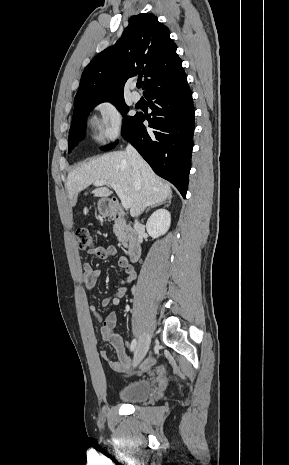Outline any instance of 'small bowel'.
Here are the masks:
<instances>
[{"instance_id":"c3829d8e","label":"small bowel","mask_w":289,"mask_h":465,"mask_svg":"<svg viewBox=\"0 0 289 465\" xmlns=\"http://www.w3.org/2000/svg\"><path fill=\"white\" fill-rule=\"evenodd\" d=\"M90 256H94L99 259H108L117 255V249L114 246L108 247H95L89 251ZM118 265L123 270V278L117 287L116 292L107 298H104L101 302L103 307L109 305H118L120 300L126 295L127 286L132 283L135 279V271L129 265L127 259L123 256L119 257ZM83 276L82 281L85 285L86 290L90 293L96 287L98 278L101 275V270L94 269L91 263L86 262L82 266ZM90 311L93 313L96 322L101 326V336L104 342L109 343L115 349L117 360H110L108 358L107 351L105 349L100 350V356L107 361L110 368L118 373L126 372L132 365V359L127 353V344L116 332L117 315L115 312H110L106 316H103L97 309L95 304L89 305ZM155 362V357H149L142 365L143 370L149 369Z\"/></svg>"}]
</instances>
